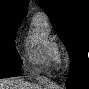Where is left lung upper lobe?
<instances>
[{"label":"left lung upper lobe","mask_w":89,"mask_h":89,"mask_svg":"<svg viewBox=\"0 0 89 89\" xmlns=\"http://www.w3.org/2000/svg\"><path fill=\"white\" fill-rule=\"evenodd\" d=\"M49 16L70 58L69 89H88L89 0H35Z\"/></svg>","instance_id":"1"}]
</instances>
